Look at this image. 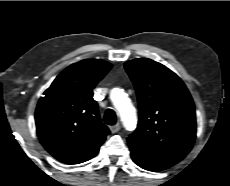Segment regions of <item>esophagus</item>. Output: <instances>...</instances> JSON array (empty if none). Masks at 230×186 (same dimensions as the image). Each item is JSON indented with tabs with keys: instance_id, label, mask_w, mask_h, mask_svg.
Returning a JSON list of instances; mask_svg holds the SVG:
<instances>
[{
	"instance_id": "1",
	"label": "esophagus",
	"mask_w": 230,
	"mask_h": 186,
	"mask_svg": "<svg viewBox=\"0 0 230 186\" xmlns=\"http://www.w3.org/2000/svg\"><path fill=\"white\" fill-rule=\"evenodd\" d=\"M120 128H121L120 124L117 123V124H115V125H113V126L110 127V131L112 133H117L120 130Z\"/></svg>"
}]
</instances>
